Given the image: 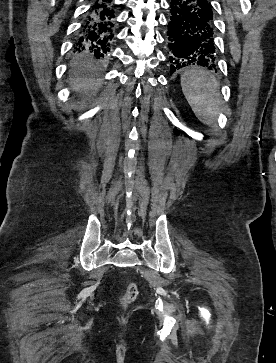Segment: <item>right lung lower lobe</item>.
Instances as JSON below:
<instances>
[{
    "mask_svg": "<svg viewBox=\"0 0 276 363\" xmlns=\"http://www.w3.org/2000/svg\"><path fill=\"white\" fill-rule=\"evenodd\" d=\"M114 0H93L77 36L76 50L89 49L97 58L111 51L116 28Z\"/></svg>",
    "mask_w": 276,
    "mask_h": 363,
    "instance_id": "98d812e1",
    "label": "right lung lower lobe"
}]
</instances>
